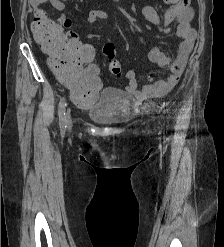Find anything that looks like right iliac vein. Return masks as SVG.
I'll return each mask as SVG.
<instances>
[{
    "instance_id": "63e3f726",
    "label": "right iliac vein",
    "mask_w": 224,
    "mask_h": 247,
    "mask_svg": "<svg viewBox=\"0 0 224 247\" xmlns=\"http://www.w3.org/2000/svg\"><path fill=\"white\" fill-rule=\"evenodd\" d=\"M67 121H68L69 128H71L72 127V120H71L69 110L67 111Z\"/></svg>"
}]
</instances>
